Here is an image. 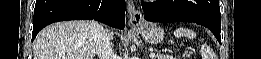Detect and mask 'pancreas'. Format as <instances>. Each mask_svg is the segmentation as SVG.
I'll use <instances>...</instances> for the list:
<instances>
[{"label":"pancreas","mask_w":261,"mask_h":59,"mask_svg":"<svg viewBox=\"0 0 261 59\" xmlns=\"http://www.w3.org/2000/svg\"><path fill=\"white\" fill-rule=\"evenodd\" d=\"M152 59H173V58L170 55L162 54V53L158 52L156 54V56Z\"/></svg>","instance_id":"obj_1"}]
</instances>
